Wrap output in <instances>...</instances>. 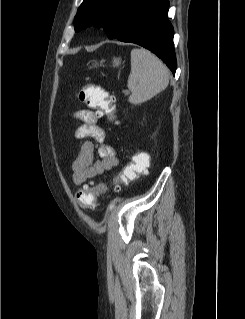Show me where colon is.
Wrapping results in <instances>:
<instances>
[{
  "mask_svg": "<svg viewBox=\"0 0 245 319\" xmlns=\"http://www.w3.org/2000/svg\"><path fill=\"white\" fill-rule=\"evenodd\" d=\"M79 98L89 108L95 109L100 116L112 118L115 115V99L107 91L99 86L88 84L79 91ZM149 157L145 153H138L131 157L130 162L123 168L115 179V188L121 184L136 179L148 173ZM103 187L96 184L83 186L75 194L77 203L85 208L97 206V197L103 191Z\"/></svg>",
  "mask_w": 245,
  "mask_h": 319,
  "instance_id": "obj_1",
  "label": "colon"
}]
</instances>
